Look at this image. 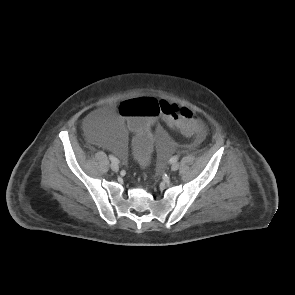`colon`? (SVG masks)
Masks as SVG:
<instances>
[{
    "label": "colon",
    "mask_w": 295,
    "mask_h": 295,
    "mask_svg": "<svg viewBox=\"0 0 295 295\" xmlns=\"http://www.w3.org/2000/svg\"><path fill=\"white\" fill-rule=\"evenodd\" d=\"M116 117L121 127H129L134 133L132 158L139 165H146L153 158L154 142L150 132L156 121H167L187 136H199L205 132L201 120L188 108H179L147 95L123 100L118 105Z\"/></svg>",
    "instance_id": "colon-1"
}]
</instances>
